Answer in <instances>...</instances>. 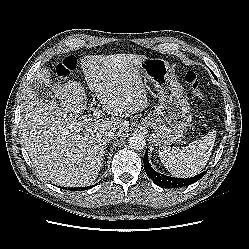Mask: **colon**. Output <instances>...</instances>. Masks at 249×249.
<instances>
[{
    "instance_id": "1",
    "label": "colon",
    "mask_w": 249,
    "mask_h": 249,
    "mask_svg": "<svg viewBox=\"0 0 249 249\" xmlns=\"http://www.w3.org/2000/svg\"><path fill=\"white\" fill-rule=\"evenodd\" d=\"M78 57L76 55H69L63 59L52 64V71L58 79H62L70 74L75 68ZM185 81L189 85L193 96L197 100L204 98V92L202 90L201 82L198 75L194 71H187L185 73Z\"/></svg>"
}]
</instances>
